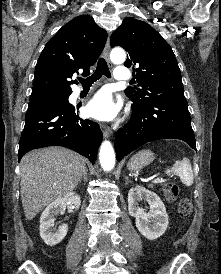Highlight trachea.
<instances>
[{
	"instance_id": "obj_1",
	"label": "trachea",
	"mask_w": 221,
	"mask_h": 274,
	"mask_svg": "<svg viewBox=\"0 0 221 274\" xmlns=\"http://www.w3.org/2000/svg\"><path fill=\"white\" fill-rule=\"evenodd\" d=\"M102 75L108 78L111 77L107 62L105 61L104 58H100L98 60L96 70L91 76L87 77L86 79L80 78L79 81L83 86H90L94 82H96L98 79H100Z\"/></svg>"
}]
</instances>
